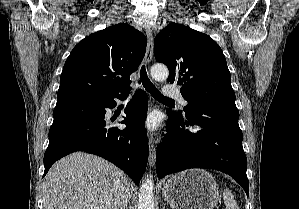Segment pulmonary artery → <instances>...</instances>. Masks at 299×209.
Here are the masks:
<instances>
[{
    "label": "pulmonary artery",
    "instance_id": "e3ab8cb5",
    "mask_svg": "<svg viewBox=\"0 0 299 209\" xmlns=\"http://www.w3.org/2000/svg\"><path fill=\"white\" fill-rule=\"evenodd\" d=\"M163 94L166 97L175 98V99L179 100L183 106L187 105V101L183 98V96L178 88H175L171 85H166L163 88Z\"/></svg>",
    "mask_w": 299,
    "mask_h": 209
}]
</instances>
